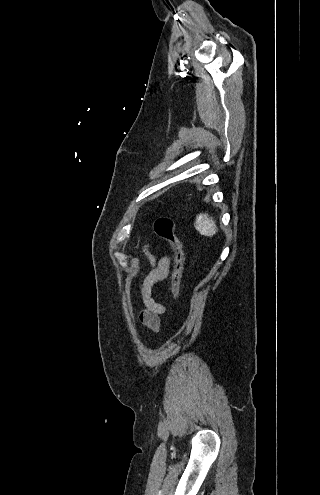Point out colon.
<instances>
[{"instance_id":"1","label":"colon","mask_w":320,"mask_h":495,"mask_svg":"<svg viewBox=\"0 0 320 495\" xmlns=\"http://www.w3.org/2000/svg\"><path fill=\"white\" fill-rule=\"evenodd\" d=\"M155 233L171 247L174 255V268L171 280V291L176 300L180 292V283L184 270L185 253L182 241L176 233V220L169 216L158 217L153 224Z\"/></svg>"}]
</instances>
